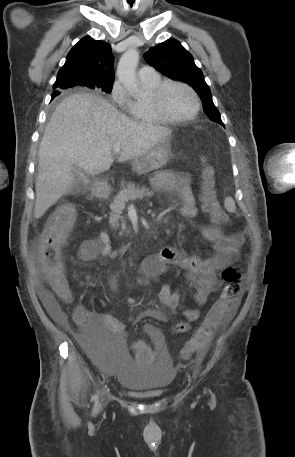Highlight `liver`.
Returning a JSON list of instances; mask_svg holds the SVG:
<instances>
[{"label": "liver", "mask_w": 295, "mask_h": 457, "mask_svg": "<svg viewBox=\"0 0 295 457\" xmlns=\"http://www.w3.org/2000/svg\"><path fill=\"white\" fill-rule=\"evenodd\" d=\"M171 134L166 127L128 118L101 96L66 97L56 107L40 143L34 217H42L71 190L73 165L96 175L113 164L115 144L122 149L118 160L124 162L143 155Z\"/></svg>", "instance_id": "liver-1"}]
</instances>
